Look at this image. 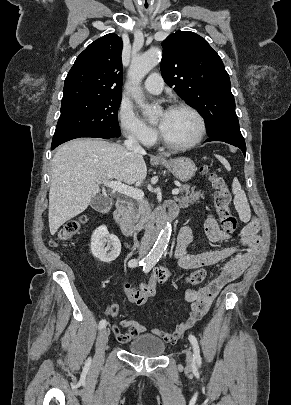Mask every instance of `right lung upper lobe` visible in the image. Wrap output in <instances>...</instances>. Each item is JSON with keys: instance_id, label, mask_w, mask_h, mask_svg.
<instances>
[{"instance_id": "cb5924a9", "label": "right lung upper lobe", "mask_w": 291, "mask_h": 405, "mask_svg": "<svg viewBox=\"0 0 291 405\" xmlns=\"http://www.w3.org/2000/svg\"><path fill=\"white\" fill-rule=\"evenodd\" d=\"M122 47V39L114 33L91 43L65 79L62 102L121 96Z\"/></svg>"}]
</instances>
